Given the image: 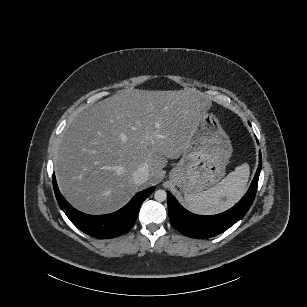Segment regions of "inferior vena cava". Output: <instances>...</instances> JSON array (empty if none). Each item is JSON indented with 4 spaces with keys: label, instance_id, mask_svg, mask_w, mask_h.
I'll list each match as a JSON object with an SVG mask.
<instances>
[{
    "label": "inferior vena cava",
    "instance_id": "602c4592",
    "mask_svg": "<svg viewBox=\"0 0 307 307\" xmlns=\"http://www.w3.org/2000/svg\"><path fill=\"white\" fill-rule=\"evenodd\" d=\"M149 168L147 164H141L133 173V180L136 185H141L148 180Z\"/></svg>",
    "mask_w": 307,
    "mask_h": 307
}]
</instances>
